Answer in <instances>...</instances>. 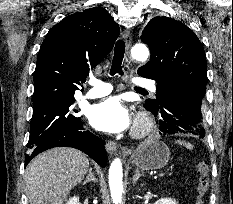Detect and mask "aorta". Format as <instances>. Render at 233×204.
<instances>
[{
	"instance_id": "obj_1",
	"label": "aorta",
	"mask_w": 233,
	"mask_h": 204,
	"mask_svg": "<svg viewBox=\"0 0 233 204\" xmlns=\"http://www.w3.org/2000/svg\"><path fill=\"white\" fill-rule=\"evenodd\" d=\"M131 56L138 61H145L149 56L148 48L145 44L139 43L132 47ZM123 171L122 163L119 158H116L109 169V186L111 191V198L114 204L122 203L123 193Z\"/></svg>"
}]
</instances>
